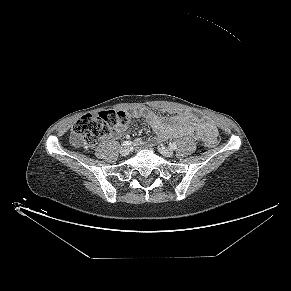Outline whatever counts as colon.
<instances>
[{"instance_id": "obj_1", "label": "colon", "mask_w": 291, "mask_h": 291, "mask_svg": "<svg viewBox=\"0 0 291 291\" xmlns=\"http://www.w3.org/2000/svg\"><path fill=\"white\" fill-rule=\"evenodd\" d=\"M130 115L125 111H103L97 115H84L72 127L71 141L85 150H91L97 142L107 137L110 132L120 125L128 124ZM219 142L217 132L209 134L205 143L209 147L216 146Z\"/></svg>"}]
</instances>
